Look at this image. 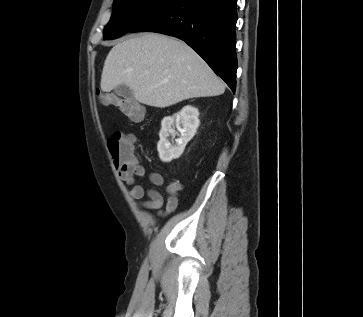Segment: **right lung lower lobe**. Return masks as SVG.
Listing matches in <instances>:
<instances>
[{
	"label": "right lung lower lobe",
	"mask_w": 363,
	"mask_h": 317,
	"mask_svg": "<svg viewBox=\"0 0 363 317\" xmlns=\"http://www.w3.org/2000/svg\"><path fill=\"white\" fill-rule=\"evenodd\" d=\"M236 3L237 0H177L131 32H158L185 41L235 92Z\"/></svg>",
	"instance_id": "1"
}]
</instances>
